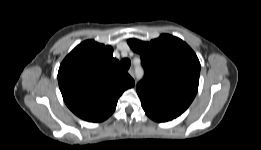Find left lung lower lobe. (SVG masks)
Segmentation results:
<instances>
[{"label":"left lung lower lobe","mask_w":261,"mask_h":150,"mask_svg":"<svg viewBox=\"0 0 261 150\" xmlns=\"http://www.w3.org/2000/svg\"><path fill=\"white\" fill-rule=\"evenodd\" d=\"M145 113L154 121L165 122L174 119V117L166 115L161 112H157L148 108H143Z\"/></svg>","instance_id":"0a47b994"}]
</instances>
